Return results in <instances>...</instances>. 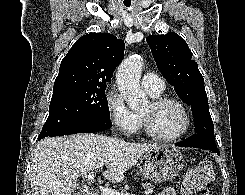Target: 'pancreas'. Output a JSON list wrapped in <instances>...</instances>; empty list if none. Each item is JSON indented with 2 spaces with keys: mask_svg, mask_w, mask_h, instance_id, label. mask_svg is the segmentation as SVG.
Masks as SVG:
<instances>
[{
  "mask_svg": "<svg viewBox=\"0 0 245 195\" xmlns=\"http://www.w3.org/2000/svg\"><path fill=\"white\" fill-rule=\"evenodd\" d=\"M142 186L144 187L146 194H150L153 192L155 186L151 183H142Z\"/></svg>",
  "mask_w": 245,
  "mask_h": 195,
  "instance_id": "cf45deb5",
  "label": "pancreas"
}]
</instances>
